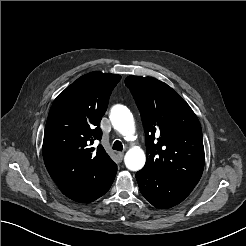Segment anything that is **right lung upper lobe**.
Returning <instances> with one entry per match:
<instances>
[{
    "label": "right lung upper lobe",
    "mask_w": 246,
    "mask_h": 246,
    "mask_svg": "<svg viewBox=\"0 0 246 246\" xmlns=\"http://www.w3.org/2000/svg\"><path fill=\"white\" fill-rule=\"evenodd\" d=\"M120 79L110 73H88L53 102L45 126L43 158L59 187L95 177L105 180L117 171L102 145L96 149L90 145L102 138L100 121Z\"/></svg>",
    "instance_id": "obj_1"
}]
</instances>
